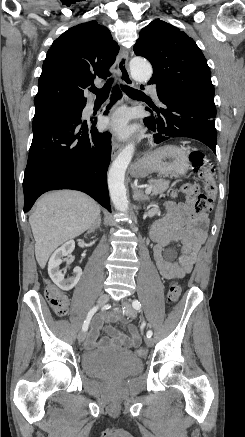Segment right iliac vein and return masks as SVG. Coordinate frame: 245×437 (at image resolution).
<instances>
[{
  "label": "right iliac vein",
  "instance_id": "obj_1",
  "mask_svg": "<svg viewBox=\"0 0 245 437\" xmlns=\"http://www.w3.org/2000/svg\"><path fill=\"white\" fill-rule=\"evenodd\" d=\"M109 299H110V297L108 294H103L99 297V299L97 301V305L102 306V305L106 304L109 301ZM84 340H85V333H84V331H81L78 334V341L80 343H82Z\"/></svg>",
  "mask_w": 245,
  "mask_h": 437
}]
</instances>
